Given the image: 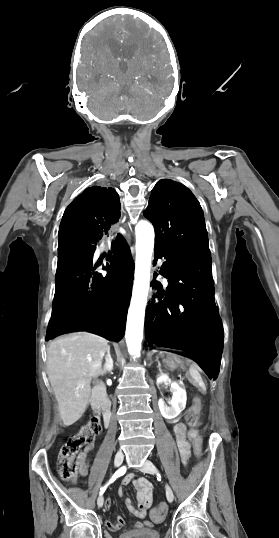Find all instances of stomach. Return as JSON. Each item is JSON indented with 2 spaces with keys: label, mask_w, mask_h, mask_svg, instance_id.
<instances>
[{
  "label": "stomach",
  "mask_w": 279,
  "mask_h": 538,
  "mask_svg": "<svg viewBox=\"0 0 279 538\" xmlns=\"http://www.w3.org/2000/svg\"><path fill=\"white\" fill-rule=\"evenodd\" d=\"M162 360L163 364H166L169 368H176L179 364V360H177L175 353H164Z\"/></svg>",
  "instance_id": "obj_1"
}]
</instances>
